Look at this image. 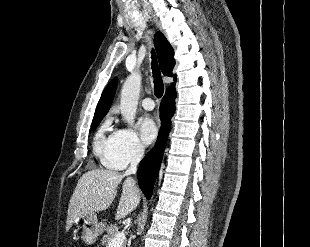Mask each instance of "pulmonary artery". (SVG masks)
Returning a JSON list of instances; mask_svg holds the SVG:
<instances>
[{"mask_svg":"<svg viewBox=\"0 0 310 247\" xmlns=\"http://www.w3.org/2000/svg\"><path fill=\"white\" fill-rule=\"evenodd\" d=\"M142 106L146 110H152L154 108L155 104L151 98L147 97V98H144L142 100Z\"/></svg>","mask_w":310,"mask_h":247,"instance_id":"e3ab8cb5","label":"pulmonary artery"}]
</instances>
